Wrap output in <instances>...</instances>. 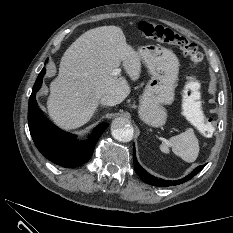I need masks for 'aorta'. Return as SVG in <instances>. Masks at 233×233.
Returning <instances> with one entry per match:
<instances>
[{
    "label": "aorta",
    "mask_w": 233,
    "mask_h": 233,
    "mask_svg": "<svg viewBox=\"0 0 233 233\" xmlns=\"http://www.w3.org/2000/svg\"><path fill=\"white\" fill-rule=\"evenodd\" d=\"M112 136L121 142H129L133 138L134 129L128 119L124 117L115 118L111 124Z\"/></svg>",
    "instance_id": "1"
}]
</instances>
